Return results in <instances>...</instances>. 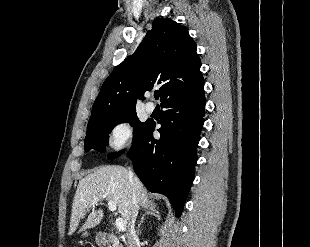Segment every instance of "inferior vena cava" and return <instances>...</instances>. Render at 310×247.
<instances>
[{
  "mask_svg": "<svg viewBox=\"0 0 310 247\" xmlns=\"http://www.w3.org/2000/svg\"><path fill=\"white\" fill-rule=\"evenodd\" d=\"M129 180L131 182V184L133 186H136L137 184V179L134 176L132 170L129 168ZM133 212H132V216H131V224H130V228H129V234H128V247H137L138 243H139V238L138 235L136 233L135 230V220L138 214V209H139V205H138V201H137V196L135 194V192L133 193Z\"/></svg>",
  "mask_w": 310,
  "mask_h": 247,
  "instance_id": "inferior-vena-cava-1",
  "label": "inferior vena cava"
}]
</instances>
